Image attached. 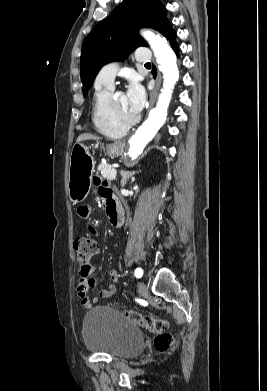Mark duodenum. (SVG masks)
<instances>
[{"label": "duodenum", "mask_w": 267, "mask_h": 391, "mask_svg": "<svg viewBox=\"0 0 267 391\" xmlns=\"http://www.w3.org/2000/svg\"><path fill=\"white\" fill-rule=\"evenodd\" d=\"M111 223L115 227H120L123 224V217L122 215L115 213L112 215Z\"/></svg>", "instance_id": "1"}]
</instances>
